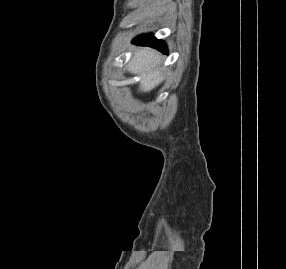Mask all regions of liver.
<instances>
[{
  "mask_svg": "<svg viewBox=\"0 0 286 269\" xmlns=\"http://www.w3.org/2000/svg\"><path fill=\"white\" fill-rule=\"evenodd\" d=\"M160 64L161 59L156 51L149 48L136 51L127 69L133 74H145L140 81L139 90L149 92L162 81Z\"/></svg>",
  "mask_w": 286,
  "mask_h": 269,
  "instance_id": "1",
  "label": "liver"
}]
</instances>
